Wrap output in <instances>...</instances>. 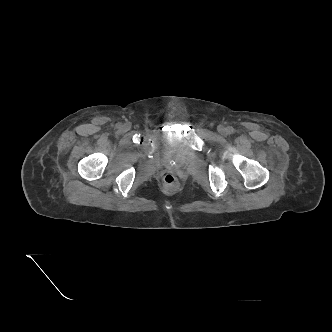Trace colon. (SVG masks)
Masks as SVG:
<instances>
[{
  "mask_svg": "<svg viewBox=\"0 0 332 332\" xmlns=\"http://www.w3.org/2000/svg\"><path fill=\"white\" fill-rule=\"evenodd\" d=\"M179 186L177 178L173 174H166L163 177V187L165 190L172 192Z\"/></svg>",
  "mask_w": 332,
  "mask_h": 332,
  "instance_id": "5ec220e1",
  "label": "colon"
}]
</instances>
